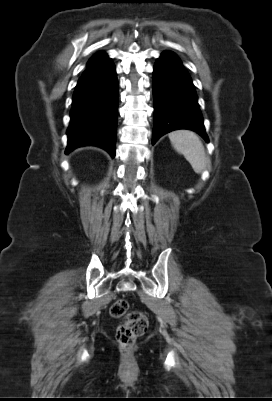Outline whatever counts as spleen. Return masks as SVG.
<instances>
[{
    "instance_id": "obj_1",
    "label": "spleen",
    "mask_w": 272,
    "mask_h": 401,
    "mask_svg": "<svg viewBox=\"0 0 272 401\" xmlns=\"http://www.w3.org/2000/svg\"><path fill=\"white\" fill-rule=\"evenodd\" d=\"M174 149L184 155L195 173L206 168V155L199 137L192 131L179 130L169 134Z\"/></svg>"
}]
</instances>
